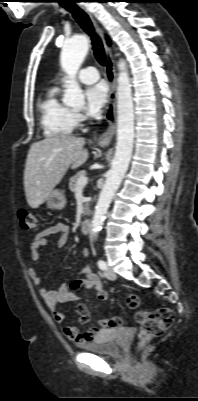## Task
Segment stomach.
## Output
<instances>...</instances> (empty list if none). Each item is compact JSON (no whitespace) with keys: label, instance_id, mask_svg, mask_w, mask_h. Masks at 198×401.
<instances>
[{"label":"stomach","instance_id":"0dacf381","mask_svg":"<svg viewBox=\"0 0 198 401\" xmlns=\"http://www.w3.org/2000/svg\"><path fill=\"white\" fill-rule=\"evenodd\" d=\"M46 204L53 210H61L66 205V198L62 190H52L46 199Z\"/></svg>","mask_w":198,"mask_h":401}]
</instances>
